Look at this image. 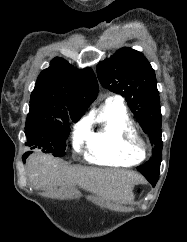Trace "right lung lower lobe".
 <instances>
[{"mask_svg": "<svg viewBox=\"0 0 187 242\" xmlns=\"http://www.w3.org/2000/svg\"><path fill=\"white\" fill-rule=\"evenodd\" d=\"M31 153H32V151H29V152L24 153V155H23V157H22V160H23L24 163H25L26 158H27Z\"/></svg>", "mask_w": 187, "mask_h": 242, "instance_id": "obj_1", "label": "right lung lower lobe"}]
</instances>
